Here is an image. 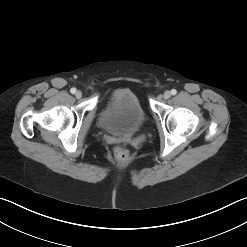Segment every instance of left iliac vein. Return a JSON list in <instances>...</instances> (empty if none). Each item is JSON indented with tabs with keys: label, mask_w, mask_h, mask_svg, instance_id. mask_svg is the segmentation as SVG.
I'll return each instance as SVG.
<instances>
[{
	"label": "left iliac vein",
	"mask_w": 247,
	"mask_h": 247,
	"mask_svg": "<svg viewBox=\"0 0 247 247\" xmlns=\"http://www.w3.org/2000/svg\"><path fill=\"white\" fill-rule=\"evenodd\" d=\"M171 97V92L170 91H165L163 94L164 99H169Z\"/></svg>",
	"instance_id": "1"
}]
</instances>
